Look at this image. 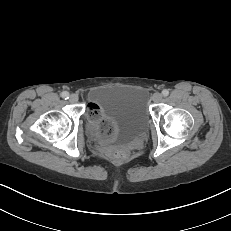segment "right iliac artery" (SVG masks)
<instances>
[{"instance_id":"obj_1","label":"right iliac artery","mask_w":231,"mask_h":231,"mask_svg":"<svg viewBox=\"0 0 231 231\" xmlns=\"http://www.w3.org/2000/svg\"><path fill=\"white\" fill-rule=\"evenodd\" d=\"M61 97L64 98V99H68L69 98V93L67 91H63L61 93Z\"/></svg>"}]
</instances>
